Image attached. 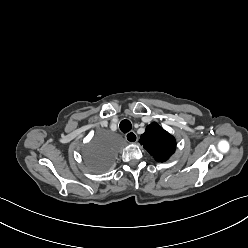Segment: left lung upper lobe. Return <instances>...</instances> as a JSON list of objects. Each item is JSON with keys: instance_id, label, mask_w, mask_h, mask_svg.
<instances>
[{"instance_id": "5c2ea615", "label": "left lung upper lobe", "mask_w": 248, "mask_h": 248, "mask_svg": "<svg viewBox=\"0 0 248 248\" xmlns=\"http://www.w3.org/2000/svg\"><path fill=\"white\" fill-rule=\"evenodd\" d=\"M139 142L158 162L167 161L176 148L175 138L155 122L146 127Z\"/></svg>"}]
</instances>
